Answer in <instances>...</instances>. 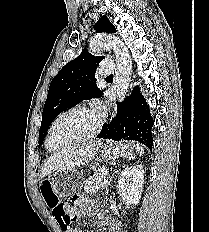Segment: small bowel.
<instances>
[{
  "instance_id": "obj_1",
  "label": "small bowel",
  "mask_w": 209,
  "mask_h": 232,
  "mask_svg": "<svg viewBox=\"0 0 209 232\" xmlns=\"http://www.w3.org/2000/svg\"><path fill=\"white\" fill-rule=\"evenodd\" d=\"M82 198L81 191L77 190L76 194H70L67 201H65L64 208L66 209L67 213H81L86 214L88 209L86 207H80V200ZM79 208V209H78ZM107 223L111 224L110 221ZM63 229V228H62ZM64 232H82L78 228L68 227L67 229H63ZM113 231H117L116 227H113Z\"/></svg>"
}]
</instances>
